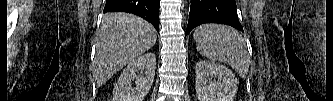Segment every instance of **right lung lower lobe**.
<instances>
[{"label": "right lung lower lobe", "mask_w": 333, "mask_h": 101, "mask_svg": "<svg viewBox=\"0 0 333 101\" xmlns=\"http://www.w3.org/2000/svg\"><path fill=\"white\" fill-rule=\"evenodd\" d=\"M160 0H107L103 13L129 12L150 22L159 33Z\"/></svg>", "instance_id": "obj_1"}]
</instances>
